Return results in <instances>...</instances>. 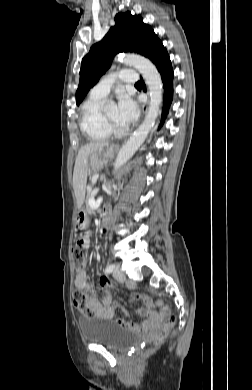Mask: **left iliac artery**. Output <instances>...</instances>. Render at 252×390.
Segmentation results:
<instances>
[{
    "mask_svg": "<svg viewBox=\"0 0 252 390\" xmlns=\"http://www.w3.org/2000/svg\"><path fill=\"white\" fill-rule=\"evenodd\" d=\"M114 268H115V265L114 264H110L109 266H107L105 272L106 273H111Z\"/></svg>",
    "mask_w": 252,
    "mask_h": 390,
    "instance_id": "44dca946",
    "label": "left iliac artery"
}]
</instances>
